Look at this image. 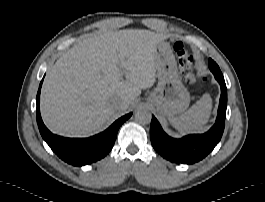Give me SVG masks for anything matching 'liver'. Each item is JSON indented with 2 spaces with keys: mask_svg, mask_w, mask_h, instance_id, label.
<instances>
[{
  "mask_svg": "<svg viewBox=\"0 0 265 202\" xmlns=\"http://www.w3.org/2000/svg\"><path fill=\"white\" fill-rule=\"evenodd\" d=\"M165 38L144 29L84 35L46 74L40 101L45 125L65 137L101 131L116 111L154 85L155 48ZM113 97H121L119 107Z\"/></svg>",
  "mask_w": 265,
  "mask_h": 202,
  "instance_id": "1",
  "label": "liver"
}]
</instances>
